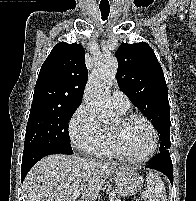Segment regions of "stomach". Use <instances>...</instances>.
Returning a JSON list of instances; mask_svg holds the SVG:
<instances>
[{"label":"stomach","mask_w":196,"mask_h":201,"mask_svg":"<svg viewBox=\"0 0 196 201\" xmlns=\"http://www.w3.org/2000/svg\"><path fill=\"white\" fill-rule=\"evenodd\" d=\"M114 177L117 192L123 196L134 195L143 184V179L133 170L117 172Z\"/></svg>","instance_id":"0dacf381"}]
</instances>
